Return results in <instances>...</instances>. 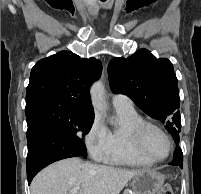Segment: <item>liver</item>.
Masks as SVG:
<instances>
[{"mask_svg": "<svg viewBox=\"0 0 201 194\" xmlns=\"http://www.w3.org/2000/svg\"><path fill=\"white\" fill-rule=\"evenodd\" d=\"M143 170L83 162L70 158L53 163L33 179L31 194H68L80 186L79 194H119L130 179Z\"/></svg>", "mask_w": 201, "mask_h": 194, "instance_id": "6515ba94", "label": "liver"}]
</instances>
